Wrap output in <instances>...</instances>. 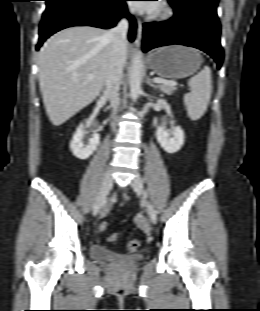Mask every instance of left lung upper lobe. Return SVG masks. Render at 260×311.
<instances>
[{
  "label": "left lung upper lobe",
  "mask_w": 260,
  "mask_h": 311,
  "mask_svg": "<svg viewBox=\"0 0 260 311\" xmlns=\"http://www.w3.org/2000/svg\"><path fill=\"white\" fill-rule=\"evenodd\" d=\"M173 8L185 9L188 7H199L213 16L217 17L216 7L218 0H168Z\"/></svg>",
  "instance_id": "obj_1"
}]
</instances>
